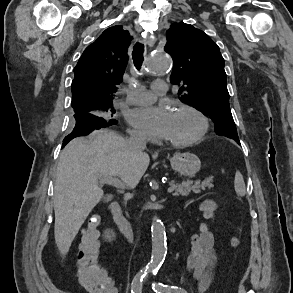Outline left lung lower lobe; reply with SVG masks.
Masks as SVG:
<instances>
[{"mask_svg":"<svg viewBox=\"0 0 293 293\" xmlns=\"http://www.w3.org/2000/svg\"><path fill=\"white\" fill-rule=\"evenodd\" d=\"M236 142L240 144V141L239 140H236Z\"/></svg>","mask_w":293,"mask_h":293,"instance_id":"0a47b994","label":"left lung lower lobe"}]
</instances>
